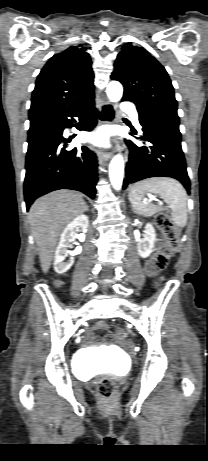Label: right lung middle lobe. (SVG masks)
<instances>
[{"label": "right lung middle lobe", "instance_id": "dd1d6c3e", "mask_svg": "<svg viewBox=\"0 0 208 461\" xmlns=\"http://www.w3.org/2000/svg\"><path fill=\"white\" fill-rule=\"evenodd\" d=\"M44 120H30V127H34L35 125L43 122Z\"/></svg>", "mask_w": 208, "mask_h": 461}]
</instances>
